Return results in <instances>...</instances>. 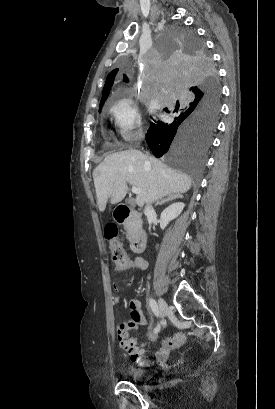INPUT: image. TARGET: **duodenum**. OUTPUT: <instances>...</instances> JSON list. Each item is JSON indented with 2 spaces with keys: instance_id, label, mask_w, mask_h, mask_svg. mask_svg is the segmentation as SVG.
Wrapping results in <instances>:
<instances>
[{
  "instance_id": "1",
  "label": "duodenum",
  "mask_w": 275,
  "mask_h": 409,
  "mask_svg": "<svg viewBox=\"0 0 275 409\" xmlns=\"http://www.w3.org/2000/svg\"><path fill=\"white\" fill-rule=\"evenodd\" d=\"M114 218L119 224L133 222L130 235L131 249L135 253L144 251L147 235L144 228L138 223L139 214L126 204H119L114 211Z\"/></svg>"
}]
</instances>
